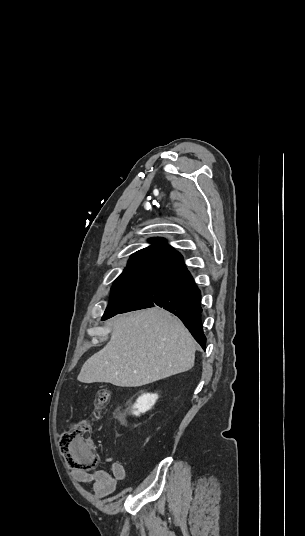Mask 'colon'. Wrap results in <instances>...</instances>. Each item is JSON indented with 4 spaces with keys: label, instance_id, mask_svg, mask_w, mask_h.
<instances>
[{
    "label": "colon",
    "instance_id": "colon-1",
    "mask_svg": "<svg viewBox=\"0 0 305 536\" xmlns=\"http://www.w3.org/2000/svg\"><path fill=\"white\" fill-rule=\"evenodd\" d=\"M109 398L110 392L100 389L95 397V409L91 417L74 422L67 435H61L60 450L66 454L71 471H102L105 468V463L98 460L96 446L89 434L92 422L99 418L100 411L106 407Z\"/></svg>",
    "mask_w": 305,
    "mask_h": 536
}]
</instances>
